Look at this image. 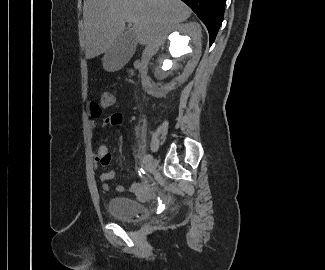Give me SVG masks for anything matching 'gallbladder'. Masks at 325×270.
<instances>
[{
    "label": "gallbladder",
    "instance_id": "gallbladder-1",
    "mask_svg": "<svg viewBox=\"0 0 325 270\" xmlns=\"http://www.w3.org/2000/svg\"><path fill=\"white\" fill-rule=\"evenodd\" d=\"M137 44L136 36L132 31L123 32L105 53L103 67L108 71L122 68L134 54Z\"/></svg>",
    "mask_w": 325,
    "mask_h": 270
}]
</instances>
